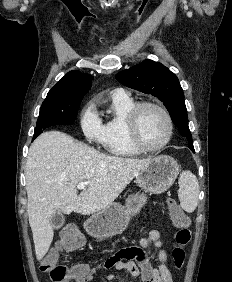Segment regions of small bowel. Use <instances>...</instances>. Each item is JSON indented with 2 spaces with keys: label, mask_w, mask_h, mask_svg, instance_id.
<instances>
[{
  "label": "small bowel",
  "mask_w": 232,
  "mask_h": 282,
  "mask_svg": "<svg viewBox=\"0 0 232 282\" xmlns=\"http://www.w3.org/2000/svg\"><path fill=\"white\" fill-rule=\"evenodd\" d=\"M153 246L157 250V267H153L146 254V250ZM101 269H114L105 277L106 282L116 280L120 276L139 278L141 282H173L168 267V254L164 246L161 233L151 230L147 236L139 240V246L118 251L99 265ZM88 272V271H87ZM94 270L87 273L84 282L92 280Z\"/></svg>",
  "instance_id": "1"
}]
</instances>
